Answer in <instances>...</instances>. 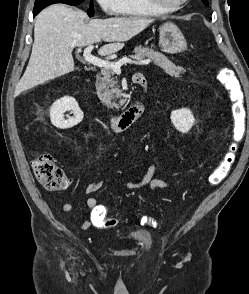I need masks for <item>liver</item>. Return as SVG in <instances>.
<instances>
[{
	"instance_id": "liver-1",
	"label": "liver",
	"mask_w": 249,
	"mask_h": 294,
	"mask_svg": "<svg viewBox=\"0 0 249 294\" xmlns=\"http://www.w3.org/2000/svg\"><path fill=\"white\" fill-rule=\"evenodd\" d=\"M86 14L63 4L47 7L34 25V43L28 66L16 86L15 94L36 87L74 70L72 50L108 42L98 53L106 56L123 48L124 42L143 31L151 19L113 17L85 23Z\"/></svg>"
}]
</instances>
